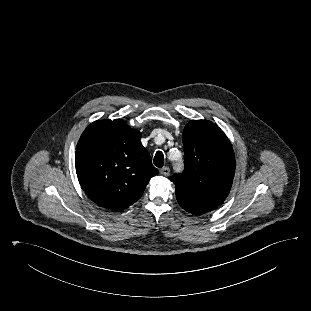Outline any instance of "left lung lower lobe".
Masks as SVG:
<instances>
[{
  "label": "left lung lower lobe",
  "mask_w": 311,
  "mask_h": 311,
  "mask_svg": "<svg viewBox=\"0 0 311 311\" xmlns=\"http://www.w3.org/2000/svg\"><path fill=\"white\" fill-rule=\"evenodd\" d=\"M176 198L183 209L194 215H201L218 207L215 203L194 199L179 191H176Z\"/></svg>",
  "instance_id": "1"
}]
</instances>
